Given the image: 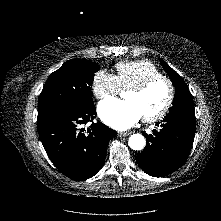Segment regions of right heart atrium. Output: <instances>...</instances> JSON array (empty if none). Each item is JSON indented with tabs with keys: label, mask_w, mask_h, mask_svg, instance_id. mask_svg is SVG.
<instances>
[{
	"label": "right heart atrium",
	"mask_w": 221,
	"mask_h": 221,
	"mask_svg": "<svg viewBox=\"0 0 221 221\" xmlns=\"http://www.w3.org/2000/svg\"><path fill=\"white\" fill-rule=\"evenodd\" d=\"M121 85L117 77L105 70L95 73L92 80V91L97 99H104L120 93Z\"/></svg>",
	"instance_id": "right-heart-atrium-1"
}]
</instances>
